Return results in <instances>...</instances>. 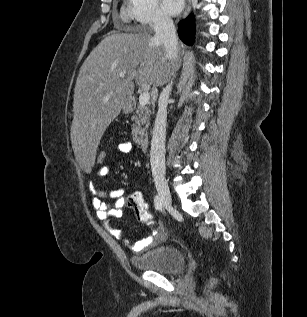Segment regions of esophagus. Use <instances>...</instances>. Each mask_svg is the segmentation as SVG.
Returning a JSON list of instances; mask_svg holds the SVG:
<instances>
[{"instance_id": "34e87169", "label": "esophagus", "mask_w": 307, "mask_h": 317, "mask_svg": "<svg viewBox=\"0 0 307 317\" xmlns=\"http://www.w3.org/2000/svg\"><path fill=\"white\" fill-rule=\"evenodd\" d=\"M190 10H191V0H187V5H186L183 16L186 17L189 14Z\"/></svg>"}]
</instances>
